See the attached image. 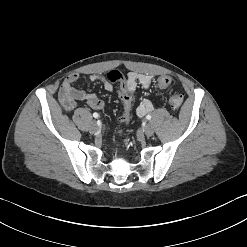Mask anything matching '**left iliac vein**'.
<instances>
[{"label":"left iliac vein","instance_id":"left-iliac-vein-1","mask_svg":"<svg viewBox=\"0 0 247 247\" xmlns=\"http://www.w3.org/2000/svg\"><path fill=\"white\" fill-rule=\"evenodd\" d=\"M144 133L146 136L150 137L154 133V128L151 124H147L144 128Z\"/></svg>","mask_w":247,"mask_h":247}]
</instances>
